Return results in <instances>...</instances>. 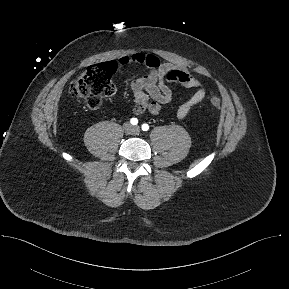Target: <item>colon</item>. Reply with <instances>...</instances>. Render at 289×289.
<instances>
[{"instance_id": "5ec220e1", "label": "colon", "mask_w": 289, "mask_h": 289, "mask_svg": "<svg viewBox=\"0 0 289 289\" xmlns=\"http://www.w3.org/2000/svg\"><path fill=\"white\" fill-rule=\"evenodd\" d=\"M114 71L113 63L92 65L71 82L69 92L75 98L85 99L87 106L96 110L101 106L103 99L112 96L115 92L112 82ZM210 103L215 108L221 106L220 99L212 92Z\"/></svg>"}]
</instances>
